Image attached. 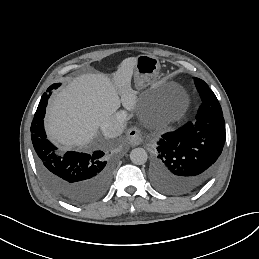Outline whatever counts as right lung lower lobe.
Instances as JSON below:
<instances>
[{
	"label": "right lung lower lobe",
	"mask_w": 259,
	"mask_h": 259,
	"mask_svg": "<svg viewBox=\"0 0 259 259\" xmlns=\"http://www.w3.org/2000/svg\"><path fill=\"white\" fill-rule=\"evenodd\" d=\"M52 90L41 97L31 124V139L38 170L44 182L60 198L77 205L88 204L108 190L112 167L103 151L93 154L68 151L59 154L46 138L43 119Z\"/></svg>",
	"instance_id": "98d812e1"
}]
</instances>
